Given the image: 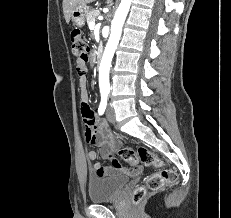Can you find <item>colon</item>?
Listing matches in <instances>:
<instances>
[{"label":"colon","instance_id":"obj_1","mask_svg":"<svg viewBox=\"0 0 231 218\" xmlns=\"http://www.w3.org/2000/svg\"><path fill=\"white\" fill-rule=\"evenodd\" d=\"M70 42L72 53L79 58V56H88L89 46L85 40L83 33L79 29H73L70 32ZM118 155L130 163L131 165H137L142 163L146 166H154L160 168L157 172H154L147 176L145 184L138 186L133 193V202L139 203L145 198L148 191H157L165 186L173 184L177 179V173L170 168H163L162 160L146 147H139L133 149L130 147H119L117 149ZM115 166L119 165V161L115 159L113 161Z\"/></svg>","mask_w":231,"mask_h":218}]
</instances>
